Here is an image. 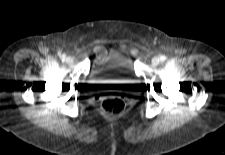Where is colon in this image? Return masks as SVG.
<instances>
[{"label": "colon", "mask_w": 225, "mask_h": 155, "mask_svg": "<svg viewBox=\"0 0 225 155\" xmlns=\"http://www.w3.org/2000/svg\"><path fill=\"white\" fill-rule=\"evenodd\" d=\"M100 109L106 116H119L126 107L125 99L121 95H108L98 98Z\"/></svg>", "instance_id": "5ec220e1"}]
</instances>
